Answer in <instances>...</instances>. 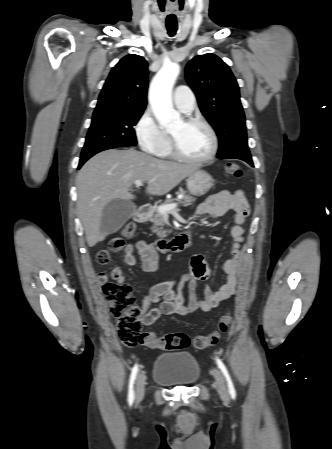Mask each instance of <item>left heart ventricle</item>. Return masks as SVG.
Here are the masks:
<instances>
[{"mask_svg":"<svg viewBox=\"0 0 332 449\" xmlns=\"http://www.w3.org/2000/svg\"><path fill=\"white\" fill-rule=\"evenodd\" d=\"M179 149L191 157L205 156L211 147L208 132L198 124H185L180 120L169 132Z\"/></svg>","mask_w":332,"mask_h":449,"instance_id":"left-heart-ventricle-1","label":"left heart ventricle"}]
</instances>
